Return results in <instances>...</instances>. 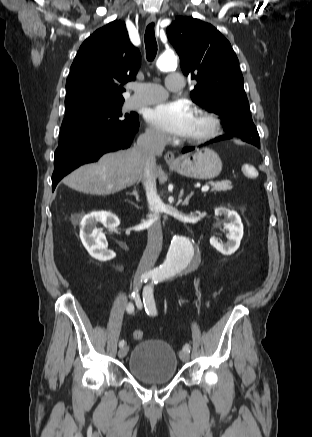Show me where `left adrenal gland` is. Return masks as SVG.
Segmentation results:
<instances>
[{
  "mask_svg": "<svg viewBox=\"0 0 312 437\" xmlns=\"http://www.w3.org/2000/svg\"><path fill=\"white\" fill-rule=\"evenodd\" d=\"M183 196V190L181 191V193H180V197H182ZM193 196V192H191L186 198H185V200L183 201V205L184 206H187L188 204H189V200H190V198Z\"/></svg>",
  "mask_w": 312,
  "mask_h": 437,
  "instance_id": "a2214340",
  "label": "left adrenal gland"
}]
</instances>
